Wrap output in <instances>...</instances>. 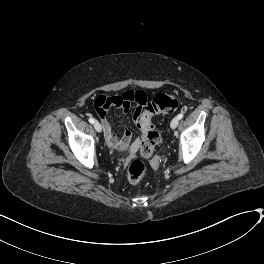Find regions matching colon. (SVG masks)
<instances>
[{"instance_id":"colon-1","label":"colon","mask_w":264,"mask_h":264,"mask_svg":"<svg viewBox=\"0 0 264 264\" xmlns=\"http://www.w3.org/2000/svg\"><path fill=\"white\" fill-rule=\"evenodd\" d=\"M141 94H137L140 99ZM179 104L176 95L159 94L149 102L143 103V114L137 126L142 131L141 154L145 158L153 155L154 149L160 142V135L152 124V118L160 113L174 111ZM146 173V166L142 161H133L128 168L127 178L131 183L139 182Z\"/></svg>"}]
</instances>
